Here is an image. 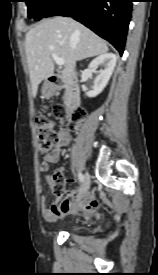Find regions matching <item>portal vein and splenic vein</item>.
Returning a JSON list of instances; mask_svg holds the SVG:
<instances>
[{"label":"portal vein and splenic vein","instance_id":"portal-vein-and-splenic-vein-1","mask_svg":"<svg viewBox=\"0 0 158 275\" xmlns=\"http://www.w3.org/2000/svg\"><path fill=\"white\" fill-rule=\"evenodd\" d=\"M52 58L55 61V63L59 66L64 65V60L63 58L59 57L58 55H56L55 53H52Z\"/></svg>","mask_w":158,"mask_h":275}]
</instances>
